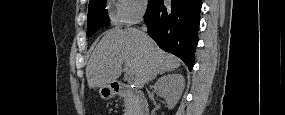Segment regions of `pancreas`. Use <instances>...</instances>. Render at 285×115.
Masks as SVG:
<instances>
[{
    "instance_id": "1",
    "label": "pancreas",
    "mask_w": 285,
    "mask_h": 115,
    "mask_svg": "<svg viewBox=\"0 0 285 115\" xmlns=\"http://www.w3.org/2000/svg\"><path fill=\"white\" fill-rule=\"evenodd\" d=\"M134 95L132 93H128L125 97H124V112L125 115H128L132 109H133V103H134Z\"/></svg>"
}]
</instances>
